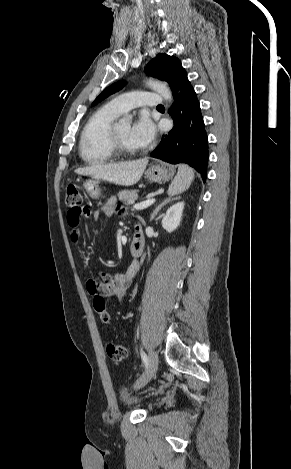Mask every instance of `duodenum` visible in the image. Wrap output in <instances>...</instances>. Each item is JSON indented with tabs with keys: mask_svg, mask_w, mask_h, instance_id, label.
<instances>
[{
	"mask_svg": "<svg viewBox=\"0 0 291 469\" xmlns=\"http://www.w3.org/2000/svg\"><path fill=\"white\" fill-rule=\"evenodd\" d=\"M145 247V238L140 226L135 227V232L133 239L130 243V252L131 255L135 258H138L142 255Z\"/></svg>",
	"mask_w": 291,
	"mask_h": 469,
	"instance_id": "1",
	"label": "duodenum"
}]
</instances>
